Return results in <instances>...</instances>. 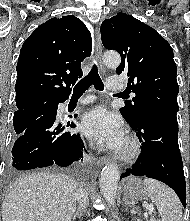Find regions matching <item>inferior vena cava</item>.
I'll use <instances>...</instances> for the list:
<instances>
[{"instance_id": "obj_1", "label": "inferior vena cava", "mask_w": 190, "mask_h": 221, "mask_svg": "<svg viewBox=\"0 0 190 221\" xmlns=\"http://www.w3.org/2000/svg\"><path fill=\"white\" fill-rule=\"evenodd\" d=\"M76 199L78 200V203H79V206H78L79 213L83 214L88 205V197H87L85 190L78 189L76 192Z\"/></svg>"}]
</instances>
